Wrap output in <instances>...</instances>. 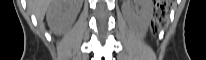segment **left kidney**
<instances>
[{"label": "left kidney", "mask_w": 206, "mask_h": 60, "mask_svg": "<svg viewBox=\"0 0 206 60\" xmlns=\"http://www.w3.org/2000/svg\"><path fill=\"white\" fill-rule=\"evenodd\" d=\"M130 0H126L123 6V13L126 19L143 33L150 24L151 13L153 10L152 0H137L139 10L137 12L129 5Z\"/></svg>", "instance_id": "left-kidney-1"}]
</instances>
